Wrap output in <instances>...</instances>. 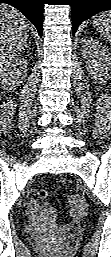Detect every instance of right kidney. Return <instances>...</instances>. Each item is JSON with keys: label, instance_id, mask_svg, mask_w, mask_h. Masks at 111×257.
<instances>
[{"label": "right kidney", "instance_id": "ca27d5eb", "mask_svg": "<svg viewBox=\"0 0 111 257\" xmlns=\"http://www.w3.org/2000/svg\"><path fill=\"white\" fill-rule=\"evenodd\" d=\"M27 60L24 58H17L11 61L7 66L1 70V83L4 89L7 87H15L22 82L23 73L27 69Z\"/></svg>", "mask_w": 111, "mask_h": 257}]
</instances>
